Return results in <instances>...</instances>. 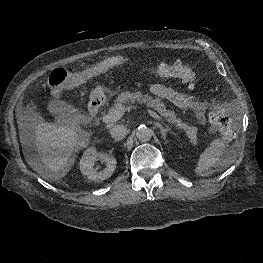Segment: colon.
<instances>
[{
  "label": "colon",
  "instance_id": "5ec220e1",
  "mask_svg": "<svg viewBox=\"0 0 263 263\" xmlns=\"http://www.w3.org/2000/svg\"><path fill=\"white\" fill-rule=\"evenodd\" d=\"M130 63L131 61L128 58L116 55L104 58L97 63L76 72H69L65 69L59 68L54 70L50 75L49 85L52 93L59 95L64 89L78 86L110 69L128 65ZM145 70L148 73L162 78H179L190 86H194L195 83L194 72L181 62L160 63L148 66ZM210 119L214 129L221 134L224 141L230 142L234 139L235 131L232 120L223 108L214 107L210 113Z\"/></svg>",
  "mask_w": 263,
  "mask_h": 263
}]
</instances>
